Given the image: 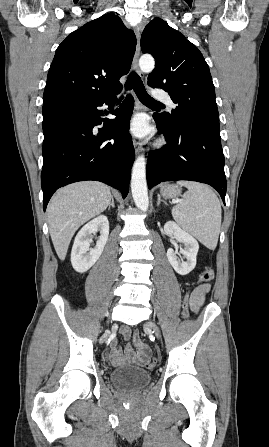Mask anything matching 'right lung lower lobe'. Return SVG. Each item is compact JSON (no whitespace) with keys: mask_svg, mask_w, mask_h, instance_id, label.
I'll use <instances>...</instances> for the list:
<instances>
[{"mask_svg":"<svg viewBox=\"0 0 269 447\" xmlns=\"http://www.w3.org/2000/svg\"><path fill=\"white\" fill-rule=\"evenodd\" d=\"M120 90L43 105L44 211L58 188L77 181H101L127 196L135 158L128 131L134 99L128 95L112 112L117 116L112 120L102 118L104 112L97 109L111 107ZM102 122L104 127L97 131L94 127Z\"/></svg>","mask_w":269,"mask_h":447,"instance_id":"obj_1","label":"right lung lower lobe"}]
</instances>
